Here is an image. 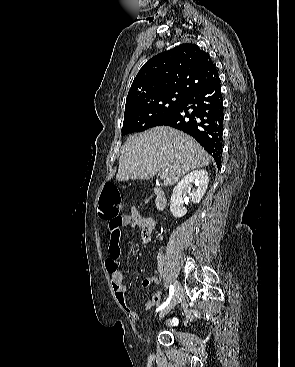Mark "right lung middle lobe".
<instances>
[{
	"instance_id": "right-lung-middle-lobe-1",
	"label": "right lung middle lobe",
	"mask_w": 295,
	"mask_h": 367,
	"mask_svg": "<svg viewBox=\"0 0 295 367\" xmlns=\"http://www.w3.org/2000/svg\"><path fill=\"white\" fill-rule=\"evenodd\" d=\"M187 95L164 93L133 102L124 113L122 135L144 131L156 121L177 110Z\"/></svg>"
}]
</instances>
